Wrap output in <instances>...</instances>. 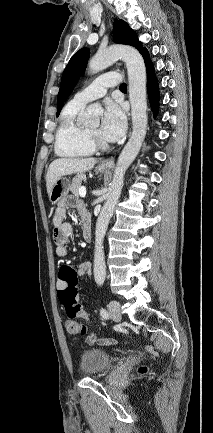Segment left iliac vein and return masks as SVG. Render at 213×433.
Masks as SVG:
<instances>
[{
  "mask_svg": "<svg viewBox=\"0 0 213 433\" xmlns=\"http://www.w3.org/2000/svg\"><path fill=\"white\" fill-rule=\"evenodd\" d=\"M109 316L115 321H120L121 312L119 302L112 300L108 304Z\"/></svg>",
  "mask_w": 213,
  "mask_h": 433,
  "instance_id": "left-iliac-vein-1",
  "label": "left iliac vein"
}]
</instances>
